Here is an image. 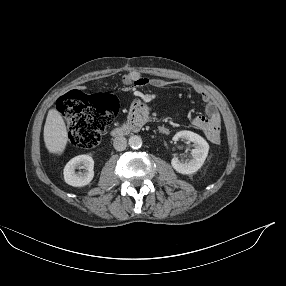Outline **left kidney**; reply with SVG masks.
Masks as SVG:
<instances>
[{"label": "left kidney", "mask_w": 286, "mask_h": 286, "mask_svg": "<svg viewBox=\"0 0 286 286\" xmlns=\"http://www.w3.org/2000/svg\"><path fill=\"white\" fill-rule=\"evenodd\" d=\"M185 139L193 143L192 155L185 161L173 157L171 164L173 168L181 174H192L198 171L203 165L209 151V145L204 138L191 131H180L173 137L174 141Z\"/></svg>", "instance_id": "1"}]
</instances>
